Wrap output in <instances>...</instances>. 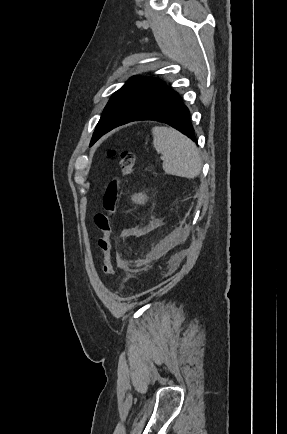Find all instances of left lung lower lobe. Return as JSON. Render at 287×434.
<instances>
[{
  "instance_id": "0a47b994",
  "label": "left lung lower lobe",
  "mask_w": 287,
  "mask_h": 434,
  "mask_svg": "<svg viewBox=\"0 0 287 434\" xmlns=\"http://www.w3.org/2000/svg\"><path fill=\"white\" fill-rule=\"evenodd\" d=\"M139 120H155L166 123L197 142L194 128L189 120V110L176 92L136 112L123 124Z\"/></svg>"
}]
</instances>
